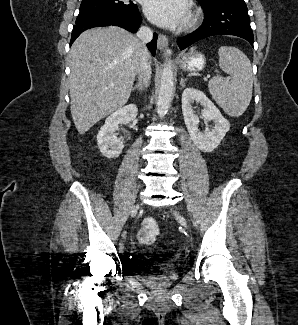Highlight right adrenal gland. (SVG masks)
Here are the masks:
<instances>
[{
  "mask_svg": "<svg viewBox=\"0 0 298 325\" xmlns=\"http://www.w3.org/2000/svg\"><path fill=\"white\" fill-rule=\"evenodd\" d=\"M147 84L146 82H144V80H142V78H140L138 84H135V86H133V88H131V90H136V88H139V90H144V88H146Z\"/></svg>",
  "mask_w": 298,
  "mask_h": 325,
  "instance_id": "right-adrenal-gland-1",
  "label": "right adrenal gland"
}]
</instances>
